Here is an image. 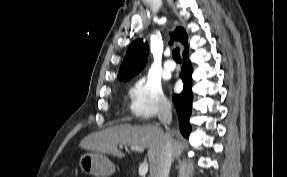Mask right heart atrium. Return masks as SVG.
<instances>
[{
    "label": "right heart atrium",
    "instance_id": "d8ad5b80",
    "mask_svg": "<svg viewBox=\"0 0 287 177\" xmlns=\"http://www.w3.org/2000/svg\"><path fill=\"white\" fill-rule=\"evenodd\" d=\"M133 111L144 120L163 114L168 107L161 81L158 77L147 74L140 77L128 91Z\"/></svg>",
    "mask_w": 287,
    "mask_h": 177
}]
</instances>
